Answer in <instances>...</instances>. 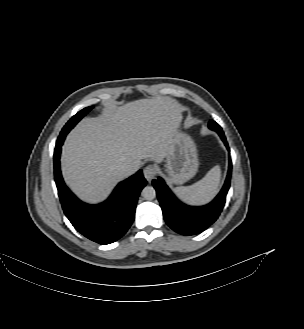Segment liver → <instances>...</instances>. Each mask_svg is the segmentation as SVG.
I'll use <instances>...</instances> for the list:
<instances>
[{"label": "liver", "mask_w": 304, "mask_h": 329, "mask_svg": "<svg viewBox=\"0 0 304 329\" xmlns=\"http://www.w3.org/2000/svg\"><path fill=\"white\" fill-rule=\"evenodd\" d=\"M181 121L182 107L169 97L112 105L98 117L83 119L63 145L65 182L87 202L105 199L127 176L120 165H133V173L142 159L160 163L168 156Z\"/></svg>", "instance_id": "1"}]
</instances>
